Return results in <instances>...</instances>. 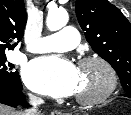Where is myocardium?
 <instances>
[{"label": "myocardium", "mask_w": 131, "mask_h": 115, "mask_svg": "<svg viewBox=\"0 0 131 115\" xmlns=\"http://www.w3.org/2000/svg\"><path fill=\"white\" fill-rule=\"evenodd\" d=\"M95 63L101 66L107 74V84L103 90L92 96L76 95L75 100L82 105H94L103 102L109 98L117 88V73L112 64L105 58L98 55H90L82 58L78 66L82 67L87 64Z\"/></svg>", "instance_id": "myocardium-1"}]
</instances>
